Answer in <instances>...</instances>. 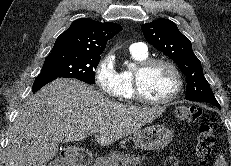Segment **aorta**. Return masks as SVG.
<instances>
[{
  "instance_id": "1",
  "label": "aorta",
  "mask_w": 231,
  "mask_h": 166,
  "mask_svg": "<svg viewBox=\"0 0 231 166\" xmlns=\"http://www.w3.org/2000/svg\"><path fill=\"white\" fill-rule=\"evenodd\" d=\"M129 67H131V68L134 67V64H129Z\"/></svg>"
}]
</instances>
